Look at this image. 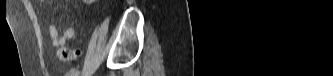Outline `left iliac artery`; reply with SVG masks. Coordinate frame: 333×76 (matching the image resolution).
<instances>
[{"label": "left iliac artery", "instance_id": "left-iliac-artery-1", "mask_svg": "<svg viewBox=\"0 0 333 76\" xmlns=\"http://www.w3.org/2000/svg\"><path fill=\"white\" fill-rule=\"evenodd\" d=\"M79 74H80V71L71 72V76H78Z\"/></svg>", "mask_w": 333, "mask_h": 76}]
</instances>
